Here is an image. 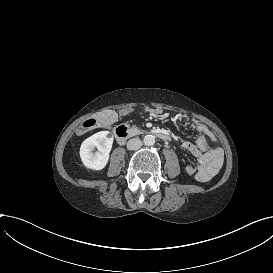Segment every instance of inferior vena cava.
Here are the masks:
<instances>
[{"mask_svg":"<svg viewBox=\"0 0 273 273\" xmlns=\"http://www.w3.org/2000/svg\"><path fill=\"white\" fill-rule=\"evenodd\" d=\"M142 146V141L139 138H132L127 142V148L129 150L138 149Z\"/></svg>","mask_w":273,"mask_h":273,"instance_id":"obj_1","label":"inferior vena cava"}]
</instances>
